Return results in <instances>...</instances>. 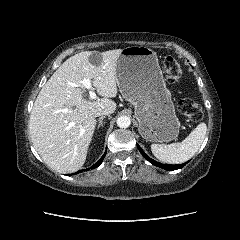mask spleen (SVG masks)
Here are the masks:
<instances>
[{
  "label": "spleen",
  "mask_w": 240,
  "mask_h": 240,
  "mask_svg": "<svg viewBox=\"0 0 240 240\" xmlns=\"http://www.w3.org/2000/svg\"><path fill=\"white\" fill-rule=\"evenodd\" d=\"M207 131L205 123H200L182 141L172 144H152L153 155L162 162L169 164H181L192 158L199 150Z\"/></svg>",
  "instance_id": "3e777b00"
}]
</instances>
